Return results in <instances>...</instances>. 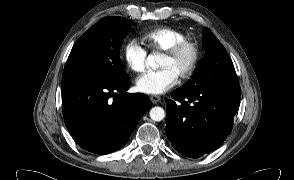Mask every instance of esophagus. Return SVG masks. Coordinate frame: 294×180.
Masks as SVG:
<instances>
[{"label": "esophagus", "instance_id": "esophagus-1", "mask_svg": "<svg viewBox=\"0 0 294 180\" xmlns=\"http://www.w3.org/2000/svg\"><path fill=\"white\" fill-rule=\"evenodd\" d=\"M150 99H151V101H152L153 104H156V103H158V102L161 101V98L158 95H151L150 96Z\"/></svg>", "mask_w": 294, "mask_h": 180}]
</instances>
